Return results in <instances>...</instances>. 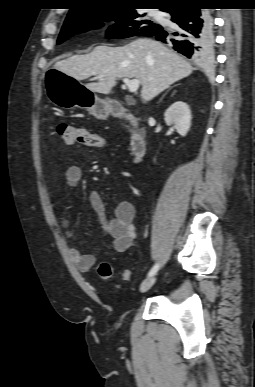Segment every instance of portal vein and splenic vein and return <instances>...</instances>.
<instances>
[{
    "instance_id": "portal-vein-and-splenic-vein-1",
    "label": "portal vein and splenic vein",
    "mask_w": 255,
    "mask_h": 387,
    "mask_svg": "<svg viewBox=\"0 0 255 387\" xmlns=\"http://www.w3.org/2000/svg\"><path fill=\"white\" fill-rule=\"evenodd\" d=\"M98 79L102 78L101 75L97 76ZM123 82L127 85L129 92L135 93L139 89L140 81L138 79L123 78Z\"/></svg>"
}]
</instances>
